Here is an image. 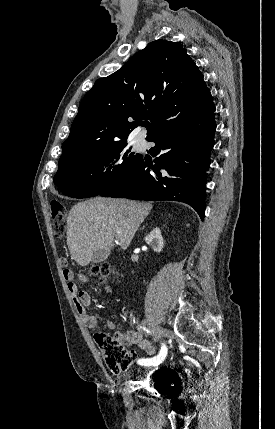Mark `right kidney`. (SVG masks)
Masks as SVG:
<instances>
[{
	"label": "right kidney",
	"mask_w": 275,
	"mask_h": 429,
	"mask_svg": "<svg viewBox=\"0 0 275 429\" xmlns=\"http://www.w3.org/2000/svg\"><path fill=\"white\" fill-rule=\"evenodd\" d=\"M145 242L150 245L155 252L160 253L164 247V241L160 229H153L150 234L145 237Z\"/></svg>",
	"instance_id": "ca27d5eb"
}]
</instances>
